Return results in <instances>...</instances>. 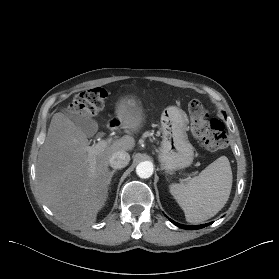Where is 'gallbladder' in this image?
<instances>
[{
    "label": "gallbladder",
    "instance_id": "bac80fb5",
    "mask_svg": "<svg viewBox=\"0 0 279 279\" xmlns=\"http://www.w3.org/2000/svg\"><path fill=\"white\" fill-rule=\"evenodd\" d=\"M64 114L69 117L87 136H93L97 130V123L90 117L82 116L81 114L71 111L69 109H63Z\"/></svg>",
    "mask_w": 279,
    "mask_h": 279
}]
</instances>
